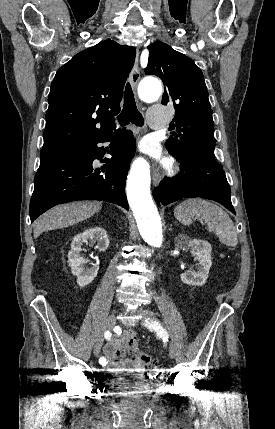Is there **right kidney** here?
Segmentation results:
<instances>
[{
	"mask_svg": "<svg viewBox=\"0 0 275 429\" xmlns=\"http://www.w3.org/2000/svg\"><path fill=\"white\" fill-rule=\"evenodd\" d=\"M88 241L91 244H97L96 248L100 252L105 251L109 246L107 233L101 227L87 229L73 238L71 249L68 252V263L72 274L77 277V284L80 287L90 284L97 276L99 269L97 265L86 268L87 261L80 254L83 243H88Z\"/></svg>",
	"mask_w": 275,
	"mask_h": 429,
	"instance_id": "ca27d5eb",
	"label": "right kidney"
}]
</instances>
